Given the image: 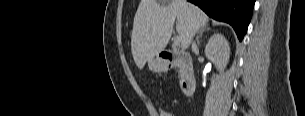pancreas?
<instances>
[{"label":"pancreas","mask_w":305,"mask_h":116,"mask_svg":"<svg viewBox=\"0 0 305 116\" xmlns=\"http://www.w3.org/2000/svg\"><path fill=\"white\" fill-rule=\"evenodd\" d=\"M178 67L180 68V72H181V65H180V64H178Z\"/></svg>","instance_id":"pancreas-1"}]
</instances>
